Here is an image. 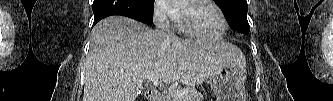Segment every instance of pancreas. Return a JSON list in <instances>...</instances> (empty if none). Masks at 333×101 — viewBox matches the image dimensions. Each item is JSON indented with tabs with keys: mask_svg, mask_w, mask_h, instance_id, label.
<instances>
[{
	"mask_svg": "<svg viewBox=\"0 0 333 101\" xmlns=\"http://www.w3.org/2000/svg\"><path fill=\"white\" fill-rule=\"evenodd\" d=\"M184 90L185 94H183L181 98H177L174 94L169 92L165 93L163 95V101H203V96L198 93L195 88H187Z\"/></svg>",
	"mask_w": 333,
	"mask_h": 101,
	"instance_id": "cf45deb5",
	"label": "pancreas"
}]
</instances>
